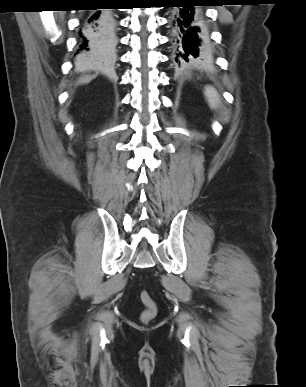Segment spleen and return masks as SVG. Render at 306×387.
Instances as JSON below:
<instances>
[{
  "instance_id": "3e777b00",
  "label": "spleen",
  "mask_w": 306,
  "mask_h": 387,
  "mask_svg": "<svg viewBox=\"0 0 306 387\" xmlns=\"http://www.w3.org/2000/svg\"><path fill=\"white\" fill-rule=\"evenodd\" d=\"M205 98L211 109H217L220 105V96L216 89L212 86H206L204 90Z\"/></svg>"
}]
</instances>
